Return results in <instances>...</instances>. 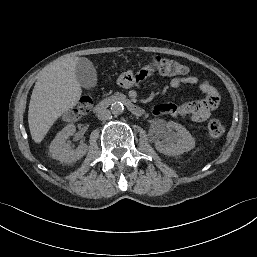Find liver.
I'll return each mask as SVG.
<instances>
[{
  "label": "liver",
  "mask_w": 257,
  "mask_h": 257,
  "mask_svg": "<svg viewBox=\"0 0 257 257\" xmlns=\"http://www.w3.org/2000/svg\"><path fill=\"white\" fill-rule=\"evenodd\" d=\"M79 59L56 60L39 73L28 110L29 129L35 143H40L54 122L77 105L82 95L75 72Z\"/></svg>",
  "instance_id": "1"
}]
</instances>
